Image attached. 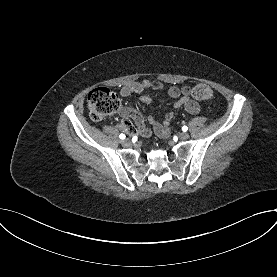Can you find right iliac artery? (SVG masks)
<instances>
[{
  "mask_svg": "<svg viewBox=\"0 0 277 277\" xmlns=\"http://www.w3.org/2000/svg\"><path fill=\"white\" fill-rule=\"evenodd\" d=\"M119 137H120V139H125L126 136H125V134H120Z\"/></svg>",
  "mask_w": 277,
  "mask_h": 277,
  "instance_id": "obj_1",
  "label": "right iliac artery"
}]
</instances>
